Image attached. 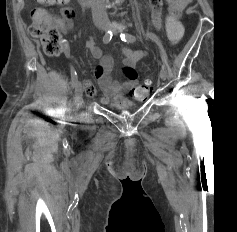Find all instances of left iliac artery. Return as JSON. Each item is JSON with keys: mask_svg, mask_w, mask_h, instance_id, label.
Listing matches in <instances>:
<instances>
[{"mask_svg": "<svg viewBox=\"0 0 237 232\" xmlns=\"http://www.w3.org/2000/svg\"><path fill=\"white\" fill-rule=\"evenodd\" d=\"M145 36L149 37L151 40L156 42L161 50L163 49L161 41L159 40V38L155 34H153V33H146ZM120 37L125 42H134L136 40L135 36H133L131 34H122L121 33Z\"/></svg>", "mask_w": 237, "mask_h": 232, "instance_id": "44dca946", "label": "left iliac artery"}]
</instances>
